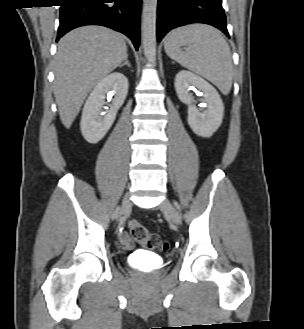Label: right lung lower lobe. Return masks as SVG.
<instances>
[{"instance_id":"98d812e1","label":"right lung lower lobe","mask_w":304,"mask_h":329,"mask_svg":"<svg viewBox=\"0 0 304 329\" xmlns=\"http://www.w3.org/2000/svg\"><path fill=\"white\" fill-rule=\"evenodd\" d=\"M142 0H62L57 40L84 25H102L128 36L136 50Z\"/></svg>"}]
</instances>
